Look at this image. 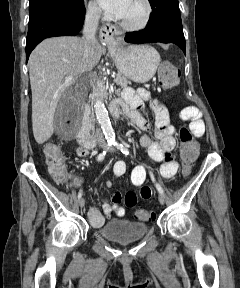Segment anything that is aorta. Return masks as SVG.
<instances>
[{
  "mask_svg": "<svg viewBox=\"0 0 240 288\" xmlns=\"http://www.w3.org/2000/svg\"><path fill=\"white\" fill-rule=\"evenodd\" d=\"M94 108H95V114H96L97 120L101 126V129L105 135V138L108 141L114 140L115 133L112 128L111 121L108 115V111L105 108L104 103H102V101L97 99L95 102Z\"/></svg>",
  "mask_w": 240,
  "mask_h": 288,
  "instance_id": "762f6f07",
  "label": "aorta"
}]
</instances>
